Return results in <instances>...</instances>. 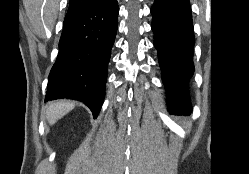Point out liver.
<instances>
[{"label":"liver","instance_id":"1","mask_svg":"<svg viewBox=\"0 0 249 174\" xmlns=\"http://www.w3.org/2000/svg\"><path fill=\"white\" fill-rule=\"evenodd\" d=\"M75 107L73 101H57L49 104L46 110V119L50 125L69 113Z\"/></svg>","mask_w":249,"mask_h":174}]
</instances>
